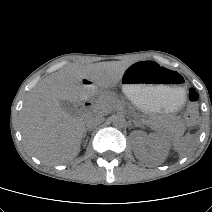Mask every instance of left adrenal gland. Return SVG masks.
<instances>
[{"label": "left adrenal gland", "mask_w": 212, "mask_h": 212, "mask_svg": "<svg viewBox=\"0 0 212 212\" xmlns=\"http://www.w3.org/2000/svg\"><path fill=\"white\" fill-rule=\"evenodd\" d=\"M135 126L139 127L140 125L138 123L135 122Z\"/></svg>", "instance_id": "1"}]
</instances>
